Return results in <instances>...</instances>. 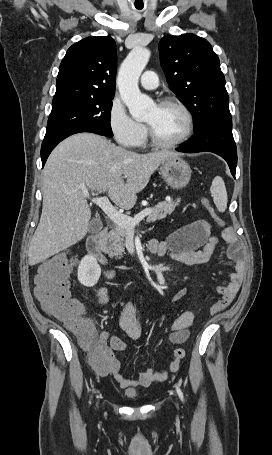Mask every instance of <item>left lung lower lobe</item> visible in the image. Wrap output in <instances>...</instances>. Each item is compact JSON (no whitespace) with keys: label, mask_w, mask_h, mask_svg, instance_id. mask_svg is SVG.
<instances>
[{"label":"left lung lower lobe","mask_w":272,"mask_h":455,"mask_svg":"<svg viewBox=\"0 0 272 455\" xmlns=\"http://www.w3.org/2000/svg\"><path fill=\"white\" fill-rule=\"evenodd\" d=\"M179 152L208 151L223 157L235 178L237 150L232 134V120L212 123L195 132V135L176 149Z\"/></svg>","instance_id":"left-lung-lower-lobe-1"}]
</instances>
